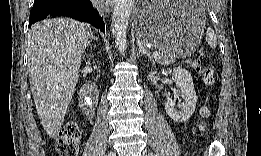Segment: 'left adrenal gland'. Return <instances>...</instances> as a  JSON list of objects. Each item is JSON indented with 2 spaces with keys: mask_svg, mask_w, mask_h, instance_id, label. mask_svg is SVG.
Masks as SVG:
<instances>
[{
  "mask_svg": "<svg viewBox=\"0 0 261 156\" xmlns=\"http://www.w3.org/2000/svg\"><path fill=\"white\" fill-rule=\"evenodd\" d=\"M137 45L139 47V53L141 54V56H146L151 61V59H152L151 53L146 49V47L144 46L143 41L138 39L137 40Z\"/></svg>",
  "mask_w": 261,
  "mask_h": 156,
  "instance_id": "left-adrenal-gland-1",
  "label": "left adrenal gland"
}]
</instances>
